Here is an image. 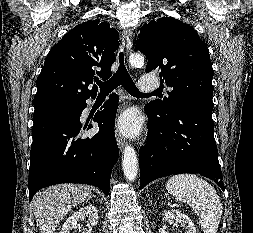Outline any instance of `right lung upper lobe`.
Segmentation results:
<instances>
[{"label":"right lung upper lobe","instance_id":"right-lung-upper-lobe-1","mask_svg":"<svg viewBox=\"0 0 253 233\" xmlns=\"http://www.w3.org/2000/svg\"><path fill=\"white\" fill-rule=\"evenodd\" d=\"M119 34L109 23L91 20L71 29L52 47L37 78L34 105L51 100L80 101L96 96L93 83L112 75Z\"/></svg>","mask_w":253,"mask_h":233}]
</instances>
